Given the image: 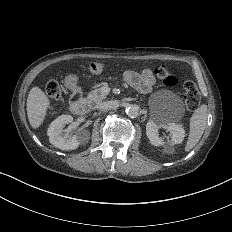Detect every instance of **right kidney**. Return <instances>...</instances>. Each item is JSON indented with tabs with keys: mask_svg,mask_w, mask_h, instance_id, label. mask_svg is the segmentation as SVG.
<instances>
[{
	"mask_svg": "<svg viewBox=\"0 0 232 232\" xmlns=\"http://www.w3.org/2000/svg\"><path fill=\"white\" fill-rule=\"evenodd\" d=\"M73 121L71 115H61L51 122L47 133L49 141L54 146L62 150H71L77 148L79 145H85L89 141V136L79 131L77 134L72 135L68 129H64L66 124Z\"/></svg>",
	"mask_w": 232,
	"mask_h": 232,
	"instance_id": "right-kidney-1",
	"label": "right kidney"
}]
</instances>
